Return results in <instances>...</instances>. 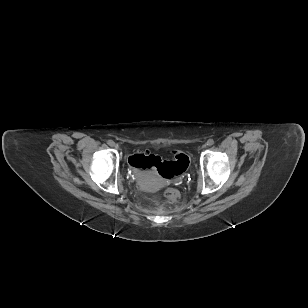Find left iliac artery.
Wrapping results in <instances>:
<instances>
[{"mask_svg":"<svg viewBox=\"0 0 308 308\" xmlns=\"http://www.w3.org/2000/svg\"><path fill=\"white\" fill-rule=\"evenodd\" d=\"M213 144H214V140H213V139H209V140L207 141V145L211 146V145H213Z\"/></svg>","mask_w":308,"mask_h":308,"instance_id":"1","label":"left iliac artery"}]
</instances>
